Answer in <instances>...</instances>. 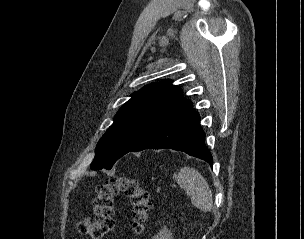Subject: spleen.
Returning a JSON list of instances; mask_svg holds the SVG:
<instances>
[{
    "mask_svg": "<svg viewBox=\"0 0 304 239\" xmlns=\"http://www.w3.org/2000/svg\"><path fill=\"white\" fill-rule=\"evenodd\" d=\"M174 178L190 196L191 203L203 212H210L213 208V198L210 187L205 178L194 168L182 167Z\"/></svg>",
    "mask_w": 304,
    "mask_h": 239,
    "instance_id": "obj_1",
    "label": "spleen"
}]
</instances>
